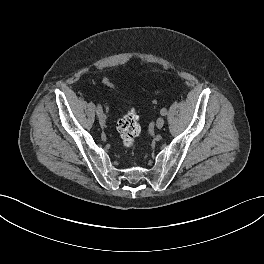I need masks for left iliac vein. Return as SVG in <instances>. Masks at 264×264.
Segmentation results:
<instances>
[{
  "mask_svg": "<svg viewBox=\"0 0 264 264\" xmlns=\"http://www.w3.org/2000/svg\"><path fill=\"white\" fill-rule=\"evenodd\" d=\"M164 125V118L163 117H159L156 121V127L158 129H161Z\"/></svg>",
  "mask_w": 264,
  "mask_h": 264,
  "instance_id": "1",
  "label": "left iliac vein"
}]
</instances>
